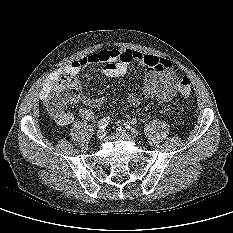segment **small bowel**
<instances>
[{
  "label": "small bowel",
  "instance_id": "obj_1",
  "mask_svg": "<svg viewBox=\"0 0 233 233\" xmlns=\"http://www.w3.org/2000/svg\"><path fill=\"white\" fill-rule=\"evenodd\" d=\"M95 63L103 64V73L111 78L125 75L130 68L143 69L145 71L143 96L156 98L159 103L170 101L178 92V77L170 60L130 49H102L97 53L65 64L57 71V76L76 75L88 65ZM58 82L47 83L40 92V98L50 109L51 96ZM106 100V96L90 98L80 94L76 100L83 105L78 111L79 116L91 119L92 109L102 106ZM128 101L133 106H138L140 97L136 93H131ZM51 111L60 125H69L74 120L70 112L64 110L56 112L52 109Z\"/></svg>",
  "mask_w": 233,
  "mask_h": 233
}]
</instances>
